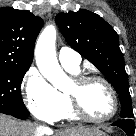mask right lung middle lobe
<instances>
[{"label": "right lung middle lobe", "instance_id": "1", "mask_svg": "<svg viewBox=\"0 0 136 136\" xmlns=\"http://www.w3.org/2000/svg\"><path fill=\"white\" fill-rule=\"evenodd\" d=\"M28 69L0 66V113L29 115L20 93V86Z\"/></svg>", "mask_w": 136, "mask_h": 136}]
</instances>
